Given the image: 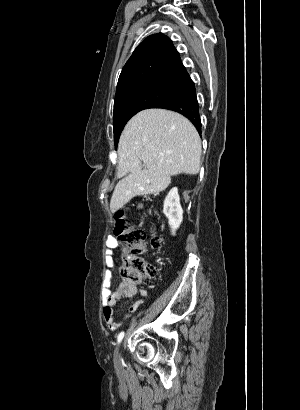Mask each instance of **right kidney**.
<instances>
[{"instance_id": "right-kidney-1", "label": "right kidney", "mask_w": 300, "mask_h": 410, "mask_svg": "<svg viewBox=\"0 0 300 410\" xmlns=\"http://www.w3.org/2000/svg\"><path fill=\"white\" fill-rule=\"evenodd\" d=\"M163 213L168 219L172 234L179 228L183 221V209L180 205L178 189L172 188L164 200Z\"/></svg>"}]
</instances>
